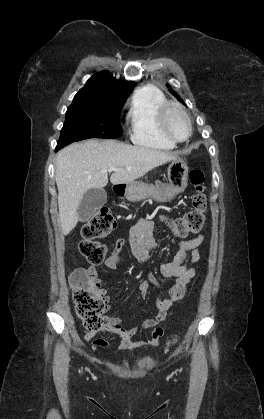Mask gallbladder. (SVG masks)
I'll return each instance as SVG.
<instances>
[{
  "instance_id": "obj_1",
  "label": "gallbladder",
  "mask_w": 264,
  "mask_h": 419,
  "mask_svg": "<svg viewBox=\"0 0 264 419\" xmlns=\"http://www.w3.org/2000/svg\"><path fill=\"white\" fill-rule=\"evenodd\" d=\"M107 199V194L104 189L92 188L87 190L83 196L78 207V216L81 222L88 221L95 211L102 207Z\"/></svg>"
}]
</instances>
